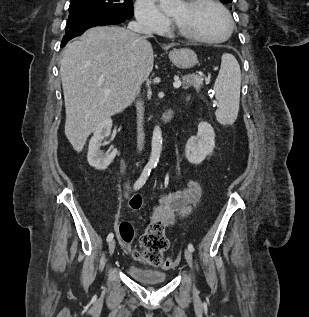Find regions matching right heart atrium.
<instances>
[{
    "mask_svg": "<svg viewBox=\"0 0 309 317\" xmlns=\"http://www.w3.org/2000/svg\"><path fill=\"white\" fill-rule=\"evenodd\" d=\"M134 15L139 27L149 33H158L170 26V20L158 8L155 0H136Z\"/></svg>",
    "mask_w": 309,
    "mask_h": 317,
    "instance_id": "obj_1",
    "label": "right heart atrium"
}]
</instances>
